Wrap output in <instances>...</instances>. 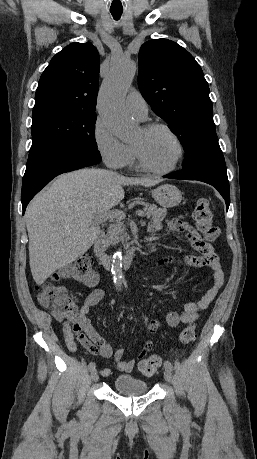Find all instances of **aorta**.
Listing matches in <instances>:
<instances>
[{
	"label": "aorta",
	"instance_id": "obj_1",
	"mask_svg": "<svg viewBox=\"0 0 257 459\" xmlns=\"http://www.w3.org/2000/svg\"><path fill=\"white\" fill-rule=\"evenodd\" d=\"M136 64L131 60L116 63L103 81L99 94V112L109 130L121 141H132L137 124L125 112L123 101L136 73ZM111 273L117 290L123 284L122 252L117 250L112 258Z\"/></svg>",
	"mask_w": 257,
	"mask_h": 459
}]
</instances>
